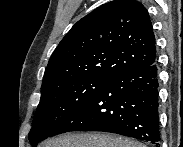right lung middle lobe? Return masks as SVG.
I'll use <instances>...</instances> for the list:
<instances>
[{"label":"right lung middle lobe","mask_w":183,"mask_h":147,"mask_svg":"<svg viewBox=\"0 0 183 147\" xmlns=\"http://www.w3.org/2000/svg\"><path fill=\"white\" fill-rule=\"evenodd\" d=\"M109 80L83 78L42 88L29 140L33 147L51 137L54 131L87 102Z\"/></svg>","instance_id":"1"}]
</instances>
